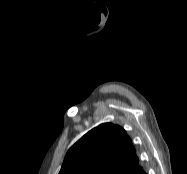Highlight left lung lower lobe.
I'll list each match as a JSON object with an SVG mask.
<instances>
[{
    "mask_svg": "<svg viewBox=\"0 0 187 174\" xmlns=\"http://www.w3.org/2000/svg\"><path fill=\"white\" fill-rule=\"evenodd\" d=\"M137 174H146L143 170L141 172H137Z\"/></svg>",
    "mask_w": 187,
    "mask_h": 174,
    "instance_id": "1",
    "label": "left lung lower lobe"
}]
</instances>
